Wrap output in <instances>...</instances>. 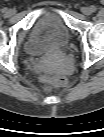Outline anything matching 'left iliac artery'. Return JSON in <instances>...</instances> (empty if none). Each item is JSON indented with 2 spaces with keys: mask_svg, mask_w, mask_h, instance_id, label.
Wrapping results in <instances>:
<instances>
[{
  "mask_svg": "<svg viewBox=\"0 0 104 137\" xmlns=\"http://www.w3.org/2000/svg\"><path fill=\"white\" fill-rule=\"evenodd\" d=\"M91 8H92V13L96 11V7L95 6L92 5Z\"/></svg>",
  "mask_w": 104,
  "mask_h": 137,
  "instance_id": "1",
  "label": "left iliac artery"
}]
</instances>
